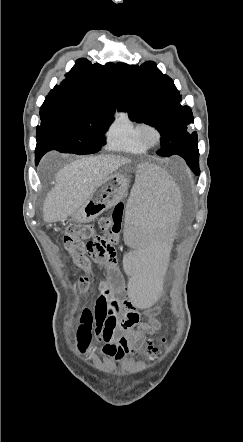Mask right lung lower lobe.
I'll return each instance as SVG.
<instances>
[{
  "instance_id": "1",
  "label": "right lung lower lobe",
  "mask_w": 243,
  "mask_h": 442,
  "mask_svg": "<svg viewBox=\"0 0 243 442\" xmlns=\"http://www.w3.org/2000/svg\"><path fill=\"white\" fill-rule=\"evenodd\" d=\"M41 157H42L41 155H37V154H36V163L39 162V160L41 159Z\"/></svg>"
}]
</instances>
